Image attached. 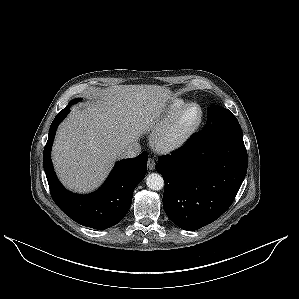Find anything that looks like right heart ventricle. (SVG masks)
Segmentation results:
<instances>
[{
    "mask_svg": "<svg viewBox=\"0 0 299 299\" xmlns=\"http://www.w3.org/2000/svg\"><path fill=\"white\" fill-rule=\"evenodd\" d=\"M187 102L181 98H175L170 101L166 111H165V118H170L173 114H175L179 109L185 106Z\"/></svg>",
    "mask_w": 299,
    "mask_h": 299,
    "instance_id": "obj_1",
    "label": "right heart ventricle"
}]
</instances>
